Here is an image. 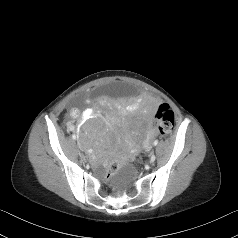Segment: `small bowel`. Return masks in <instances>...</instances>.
I'll return each instance as SVG.
<instances>
[{
  "label": "small bowel",
  "mask_w": 238,
  "mask_h": 238,
  "mask_svg": "<svg viewBox=\"0 0 238 238\" xmlns=\"http://www.w3.org/2000/svg\"><path fill=\"white\" fill-rule=\"evenodd\" d=\"M158 107H157V104L155 102L151 101V100L145 102V104H144V109H145V112L148 116H151L153 113H156ZM70 130L71 131L74 130L73 125L70 126ZM151 134H152V129H151V127H149L147 129V135L150 136Z\"/></svg>",
  "instance_id": "c3829d8e"
}]
</instances>
